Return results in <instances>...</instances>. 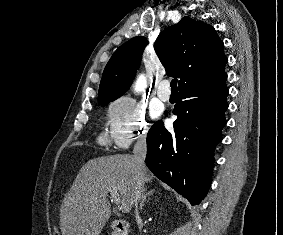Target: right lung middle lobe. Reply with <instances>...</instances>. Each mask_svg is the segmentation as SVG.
I'll use <instances>...</instances> for the list:
<instances>
[{
  "label": "right lung middle lobe",
  "mask_w": 283,
  "mask_h": 235,
  "mask_svg": "<svg viewBox=\"0 0 283 235\" xmlns=\"http://www.w3.org/2000/svg\"><path fill=\"white\" fill-rule=\"evenodd\" d=\"M109 102H111V101H105V102H101V103H99V104H101L102 106H105V105L108 104Z\"/></svg>",
  "instance_id": "obj_1"
}]
</instances>
